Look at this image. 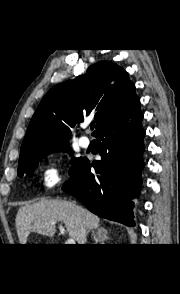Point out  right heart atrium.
Here are the masks:
<instances>
[{
    "mask_svg": "<svg viewBox=\"0 0 180 294\" xmlns=\"http://www.w3.org/2000/svg\"><path fill=\"white\" fill-rule=\"evenodd\" d=\"M63 167V161L58 158L50 159V161L43 167L41 171V179L46 188H54L62 181Z\"/></svg>",
    "mask_w": 180,
    "mask_h": 294,
    "instance_id": "d8ad5b80",
    "label": "right heart atrium"
}]
</instances>
